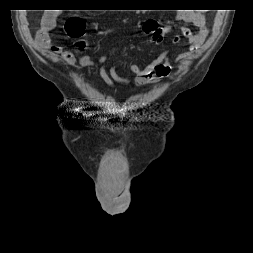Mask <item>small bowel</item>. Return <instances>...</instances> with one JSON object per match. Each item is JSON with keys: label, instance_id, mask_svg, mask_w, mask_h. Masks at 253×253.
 <instances>
[{"label": "small bowel", "instance_id": "c3829d8e", "mask_svg": "<svg viewBox=\"0 0 253 253\" xmlns=\"http://www.w3.org/2000/svg\"><path fill=\"white\" fill-rule=\"evenodd\" d=\"M184 20L187 23H191L197 27L198 30L194 32L187 26H181L180 33L176 34L173 37L172 42L174 46H177L180 43L181 36H184L188 39L190 51L179 54L175 58L174 64L170 62L169 52L167 50L161 51L145 67H141L137 64H132L130 66V70L134 75L133 81L136 85L144 86L150 83L158 82L161 79L169 76L172 72V69L178 63L184 59H187L190 54L194 50L198 49L200 45L205 41L208 35L205 15L202 12H196L184 16ZM55 27L56 16L53 13L45 14L42 18L41 26L37 30L35 36L38 45L46 49H50L57 54H60L69 65L78 64L80 67H89L95 64L94 60H92L88 55H83L77 59L71 51L64 50L62 47L52 44L50 34L55 29ZM171 28L172 25L169 24L159 25L158 21L155 19H148L143 25L145 33L151 36V42L158 47L164 43L165 38ZM106 60V56H101L98 59V63L102 65L99 70L100 76L107 85L111 87H117L118 84L125 85L130 83V80L120 75L115 67L106 69L104 66Z\"/></svg>", "mask_w": 253, "mask_h": 253}]
</instances>
